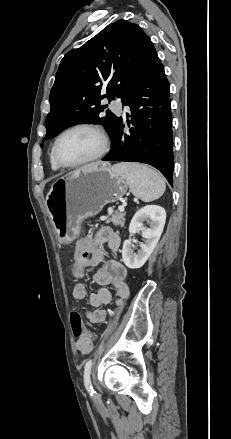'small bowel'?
Segmentation results:
<instances>
[{"mask_svg":"<svg viewBox=\"0 0 231 439\" xmlns=\"http://www.w3.org/2000/svg\"><path fill=\"white\" fill-rule=\"evenodd\" d=\"M107 244L114 253L120 252L121 237L109 227H102L94 235H88L81 239L75 248L74 260L82 258L87 268L99 267L93 276L98 289L88 296L89 304L94 310L84 309V315L94 323L103 322L106 319V311L99 307L109 305L112 300L110 287L116 292V303L121 304L129 294L126 283L127 268L118 260H105L103 246ZM84 274V273H83ZM87 283H74L72 298L76 305H81L87 295ZM76 349L83 355L93 350L92 339L79 338L75 343Z\"/></svg>","mask_w":231,"mask_h":439,"instance_id":"1","label":"small bowel"}]
</instances>
